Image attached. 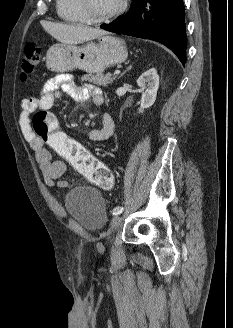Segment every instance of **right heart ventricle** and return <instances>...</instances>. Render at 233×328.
Masks as SVG:
<instances>
[{
  "instance_id": "e07e8e85",
  "label": "right heart ventricle",
  "mask_w": 233,
  "mask_h": 328,
  "mask_svg": "<svg viewBox=\"0 0 233 328\" xmlns=\"http://www.w3.org/2000/svg\"><path fill=\"white\" fill-rule=\"evenodd\" d=\"M58 16L70 23H85V18L77 0H56Z\"/></svg>"
}]
</instances>
